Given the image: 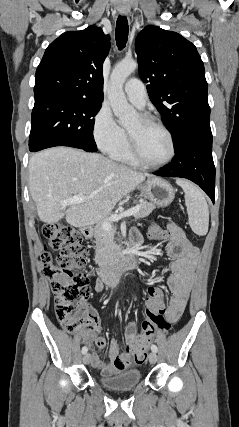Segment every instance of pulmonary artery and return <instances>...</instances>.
I'll return each instance as SVG.
<instances>
[{
	"label": "pulmonary artery",
	"instance_id": "e3ab8cb5",
	"mask_svg": "<svg viewBox=\"0 0 239 427\" xmlns=\"http://www.w3.org/2000/svg\"><path fill=\"white\" fill-rule=\"evenodd\" d=\"M128 100L138 108H143L147 102V93L144 84L136 78L130 79L124 86Z\"/></svg>",
	"mask_w": 239,
	"mask_h": 427
}]
</instances>
